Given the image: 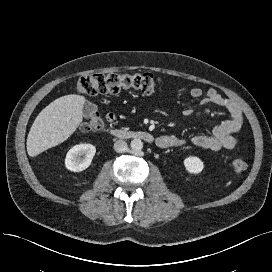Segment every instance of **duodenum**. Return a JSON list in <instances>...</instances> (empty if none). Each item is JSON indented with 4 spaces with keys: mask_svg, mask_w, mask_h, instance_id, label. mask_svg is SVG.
<instances>
[{
    "mask_svg": "<svg viewBox=\"0 0 272 272\" xmlns=\"http://www.w3.org/2000/svg\"><path fill=\"white\" fill-rule=\"evenodd\" d=\"M111 135L119 139H140L148 143L158 142L153 135L147 131L126 130L121 128L111 129Z\"/></svg>",
    "mask_w": 272,
    "mask_h": 272,
    "instance_id": "410a0bca",
    "label": "duodenum"
}]
</instances>
